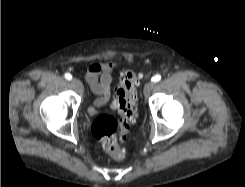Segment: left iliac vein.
I'll return each instance as SVG.
<instances>
[{
  "label": "left iliac vein",
  "instance_id": "obj_1",
  "mask_svg": "<svg viewBox=\"0 0 245 187\" xmlns=\"http://www.w3.org/2000/svg\"><path fill=\"white\" fill-rule=\"evenodd\" d=\"M153 87H154V83L153 82L146 83L145 86H144V90H143L144 95L148 96L151 93Z\"/></svg>",
  "mask_w": 245,
  "mask_h": 187
}]
</instances>
